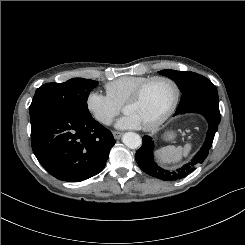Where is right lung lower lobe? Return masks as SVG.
I'll return each mask as SVG.
<instances>
[{"instance_id": "right-lung-lower-lobe-1", "label": "right lung lower lobe", "mask_w": 245, "mask_h": 245, "mask_svg": "<svg viewBox=\"0 0 245 245\" xmlns=\"http://www.w3.org/2000/svg\"><path fill=\"white\" fill-rule=\"evenodd\" d=\"M31 142L38 161L51 175L78 182L103 170L115 139L91 115L43 111L31 118Z\"/></svg>"}]
</instances>
